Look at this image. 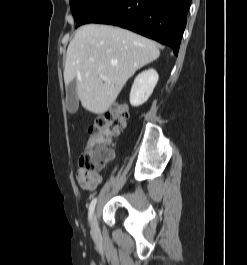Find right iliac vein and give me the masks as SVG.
Wrapping results in <instances>:
<instances>
[{
  "label": "right iliac vein",
  "instance_id": "obj_1",
  "mask_svg": "<svg viewBox=\"0 0 247 265\" xmlns=\"http://www.w3.org/2000/svg\"><path fill=\"white\" fill-rule=\"evenodd\" d=\"M91 230H92V234L93 235H97L98 234V222H97V217L96 214L93 213L92 215V225H91Z\"/></svg>",
  "mask_w": 247,
  "mask_h": 265
}]
</instances>
